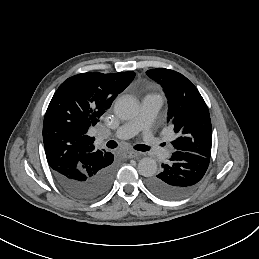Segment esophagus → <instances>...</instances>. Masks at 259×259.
Instances as JSON below:
<instances>
[{
    "mask_svg": "<svg viewBox=\"0 0 259 259\" xmlns=\"http://www.w3.org/2000/svg\"><path fill=\"white\" fill-rule=\"evenodd\" d=\"M137 156H139V153L135 151H128L124 153V157L128 159L135 158Z\"/></svg>",
    "mask_w": 259,
    "mask_h": 259,
    "instance_id": "1",
    "label": "esophagus"
}]
</instances>
